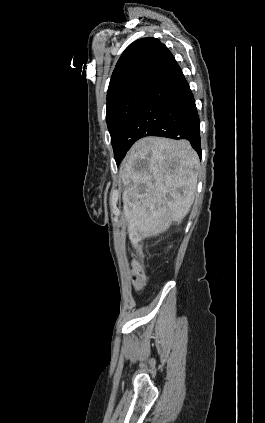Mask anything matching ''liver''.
Returning a JSON list of instances; mask_svg holds the SVG:
<instances>
[{
  "label": "liver",
  "instance_id": "1",
  "mask_svg": "<svg viewBox=\"0 0 265 423\" xmlns=\"http://www.w3.org/2000/svg\"><path fill=\"white\" fill-rule=\"evenodd\" d=\"M200 161L186 140L145 137L123 159V211L128 234L136 246L144 238L180 224L190 211Z\"/></svg>",
  "mask_w": 265,
  "mask_h": 423
}]
</instances>
